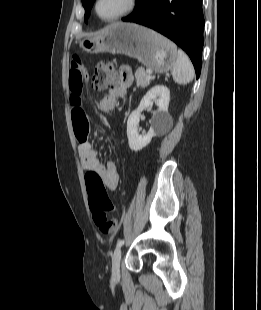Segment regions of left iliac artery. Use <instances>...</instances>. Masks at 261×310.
<instances>
[{
  "label": "left iliac artery",
  "instance_id": "44dca946",
  "mask_svg": "<svg viewBox=\"0 0 261 310\" xmlns=\"http://www.w3.org/2000/svg\"><path fill=\"white\" fill-rule=\"evenodd\" d=\"M123 243H124V240H118V242H117V247H120V246H122L123 245Z\"/></svg>",
  "mask_w": 261,
  "mask_h": 310
}]
</instances>
